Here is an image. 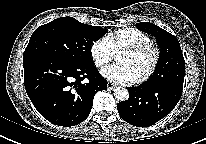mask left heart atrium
Masks as SVG:
<instances>
[{"instance_id": "obj_1", "label": "left heart atrium", "mask_w": 206, "mask_h": 144, "mask_svg": "<svg viewBox=\"0 0 206 144\" xmlns=\"http://www.w3.org/2000/svg\"><path fill=\"white\" fill-rule=\"evenodd\" d=\"M102 74L105 78L117 83H130L137 79L133 70L125 63L108 66L103 69Z\"/></svg>"}]
</instances>
